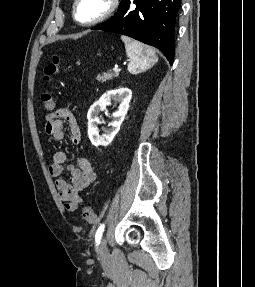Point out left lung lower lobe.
I'll list each match as a JSON object with an SVG mask.
<instances>
[{
	"instance_id": "obj_1",
	"label": "left lung lower lobe",
	"mask_w": 255,
	"mask_h": 287,
	"mask_svg": "<svg viewBox=\"0 0 255 287\" xmlns=\"http://www.w3.org/2000/svg\"><path fill=\"white\" fill-rule=\"evenodd\" d=\"M180 8L181 0H121L117 14L92 29L123 34L154 46L172 64Z\"/></svg>"
}]
</instances>
